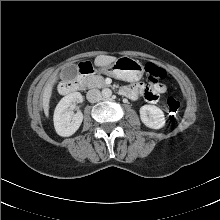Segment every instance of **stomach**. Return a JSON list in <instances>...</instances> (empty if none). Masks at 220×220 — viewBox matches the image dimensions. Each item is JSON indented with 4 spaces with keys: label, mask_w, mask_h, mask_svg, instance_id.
<instances>
[{
    "label": "stomach",
    "mask_w": 220,
    "mask_h": 220,
    "mask_svg": "<svg viewBox=\"0 0 220 220\" xmlns=\"http://www.w3.org/2000/svg\"><path fill=\"white\" fill-rule=\"evenodd\" d=\"M99 71L124 81L136 82L142 78L144 67L138 60L123 56L113 64L101 67Z\"/></svg>",
    "instance_id": "obj_1"
}]
</instances>
